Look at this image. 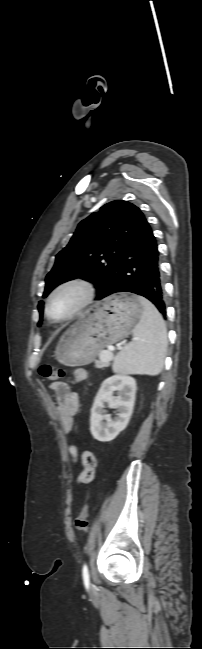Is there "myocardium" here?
Masks as SVG:
<instances>
[{
  "mask_svg": "<svg viewBox=\"0 0 202 649\" xmlns=\"http://www.w3.org/2000/svg\"><path fill=\"white\" fill-rule=\"evenodd\" d=\"M78 288L82 292V298L79 301V303L76 305V307L65 317L63 318H55L51 314L50 311V303L53 300V298L62 290H65L67 288ZM95 297V287L94 284L87 278L81 277V276H76L72 278H68L59 284H57L52 291L49 293V295L46 298L45 301V313L47 318L55 323H62V322H67L75 317H77L84 309H86L94 300Z\"/></svg>",
  "mask_w": 202,
  "mask_h": 649,
  "instance_id": "obj_1",
  "label": "myocardium"
}]
</instances>
